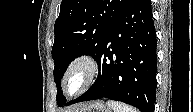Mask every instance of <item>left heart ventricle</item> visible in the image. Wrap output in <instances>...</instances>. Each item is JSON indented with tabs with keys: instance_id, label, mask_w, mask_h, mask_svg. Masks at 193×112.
I'll return each instance as SVG.
<instances>
[{
	"instance_id": "left-heart-ventricle-1",
	"label": "left heart ventricle",
	"mask_w": 193,
	"mask_h": 112,
	"mask_svg": "<svg viewBox=\"0 0 193 112\" xmlns=\"http://www.w3.org/2000/svg\"><path fill=\"white\" fill-rule=\"evenodd\" d=\"M84 78L85 74L82 69L74 71L68 80V91L70 93L76 92L82 86Z\"/></svg>"
}]
</instances>
